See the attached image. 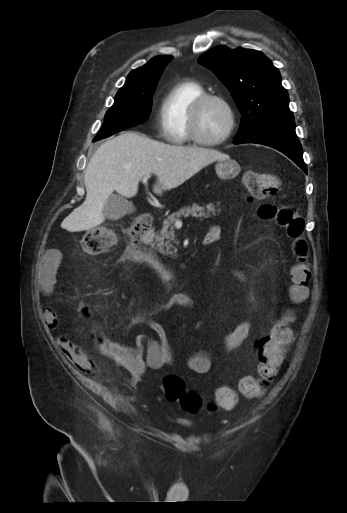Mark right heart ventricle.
I'll use <instances>...</instances> for the list:
<instances>
[{
    "label": "right heart ventricle",
    "mask_w": 347,
    "mask_h": 513,
    "mask_svg": "<svg viewBox=\"0 0 347 513\" xmlns=\"http://www.w3.org/2000/svg\"><path fill=\"white\" fill-rule=\"evenodd\" d=\"M204 93V88L190 79L178 81L166 91L160 104L159 123L161 134L168 142L176 145L191 142L188 132L189 109Z\"/></svg>",
    "instance_id": "obj_1"
}]
</instances>
